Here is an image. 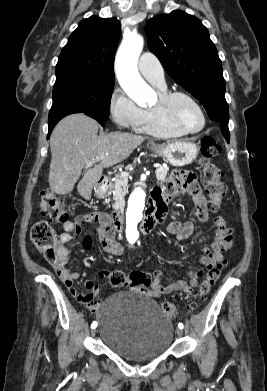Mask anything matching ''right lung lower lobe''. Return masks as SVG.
Returning a JSON list of instances; mask_svg holds the SVG:
<instances>
[{"mask_svg":"<svg viewBox=\"0 0 267 391\" xmlns=\"http://www.w3.org/2000/svg\"><path fill=\"white\" fill-rule=\"evenodd\" d=\"M72 113H80V111L78 110H69V111H66V112H63L51 119H48V125H49V132H48V138L53 130V128L55 127V125L58 123V121H60L63 117L69 115V114H72ZM86 115L96 119L102 126H104V123L106 120H104L103 118H101L100 116L94 114V113H91V112H86L85 113Z\"/></svg>","mask_w":267,"mask_h":391,"instance_id":"obj_1","label":"right lung lower lobe"}]
</instances>
